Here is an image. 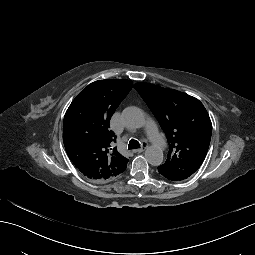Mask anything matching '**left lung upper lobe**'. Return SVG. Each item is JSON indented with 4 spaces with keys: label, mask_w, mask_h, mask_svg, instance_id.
I'll return each mask as SVG.
<instances>
[{
    "label": "left lung upper lobe",
    "mask_w": 255,
    "mask_h": 255,
    "mask_svg": "<svg viewBox=\"0 0 255 255\" xmlns=\"http://www.w3.org/2000/svg\"><path fill=\"white\" fill-rule=\"evenodd\" d=\"M134 88L146 102L167 136V160L159 173L172 181H182L203 163L211 140L212 123L203 104L173 89L148 83Z\"/></svg>",
    "instance_id": "left-lung-upper-lobe-1"
}]
</instances>
